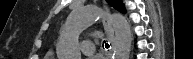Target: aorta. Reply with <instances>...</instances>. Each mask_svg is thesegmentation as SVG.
<instances>
[{
  "label": "aorta",
  "instance_id": "aorta-1",
  "mask_svg": "<svg viewBox=\"0 0 193 59\" xmlns=\"http://www.w3.org/2000/svg\"><path fill=\"white\" fill-rule=\"evenodd\" d=\"M102 15V9L95 5L74 9L68 16L58 41L59 57L63 59H80L79 34L97 22ZM110 18L115 32L113 56L115 59H129L132 46L131 26L121 14H112Z\"/></svg>",
  "mask_w": 193,
  "mask_h": 59
}]
</instances>
